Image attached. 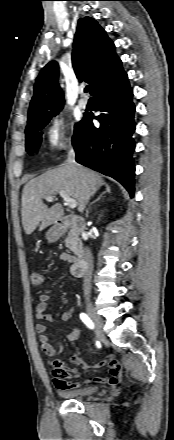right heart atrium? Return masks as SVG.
<instances>
[{
  "instance_id": "right-heart-atrium-1",
  "label": "right heart atrium",
  "mask_w": 174,
  "mask_h": 440,
  "mask_svg": "<svg viewBox=\"0 0 174 440\" xmlns=\"http://www.w3.org/2000/svg\"><path fill=\"white\" fill-rule=\"evenodd\" d=\"M45 144L51 152H59L72 144L66 120L53 116L45 128Z\"/></svg>"
}]
</instances>
